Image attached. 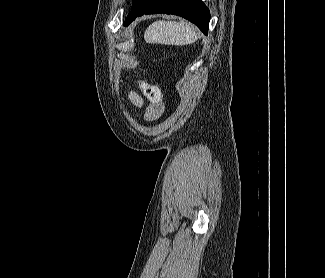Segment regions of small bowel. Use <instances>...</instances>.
<instances>
[{
    "label": "small bowel",
    "mask_w": 325,
    "mask_h": 278,
    "mask_svg": "<svg viewBox=\"0 0 325 278\" xmlns=\"http://www.w3.org/2000/svg\"><path fill=\"white\" fill-rule=\"evenodd\" d=\"M129 97L131 99V101L133 102L134 105H136L137 107H142L144 104L143 98L136 92L131 91L129 93ZM162 106H156V105H150L144 114V118L148 121H153L159 118V116L162 113Z\"/></svg>",
    "instance_id": "small-bowel-1"
}]
</instances>
